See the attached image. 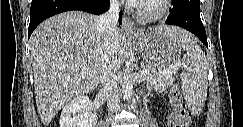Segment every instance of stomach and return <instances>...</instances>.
Here are the masks:
<instances>
[{
  "label": "stomach",
  "instance_id": "1",
  "mask_svg": "<svg viewBox=\"0 0 243 127\" xmlns=\"http://www.w3.org/2000/svg\"><path fill=\"white\" fill-rule=\"evenodd\" d=\"M130 39L141 57L155 68L168 69L179 60L180 46L165 26L141 30Z\"/></svg>",
  "mask_w": 243,
  "mask_h": 127
}]
</instances>
